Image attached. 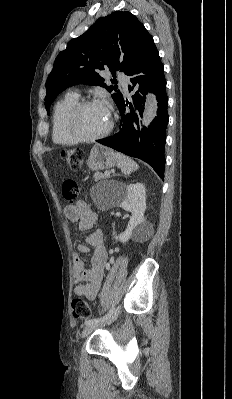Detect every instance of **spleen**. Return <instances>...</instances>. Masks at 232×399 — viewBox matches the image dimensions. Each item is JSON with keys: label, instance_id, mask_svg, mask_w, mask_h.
<instances>
[{"label": "spleen", "instance_id": "1", "mask_svg": "<svg viewBox=\"0 0 232 399\" xmlns=\"http://www.w3.org/2000/svg\"><path fill=\"white\" fill-rule=\"evenodd\" d=\"M116 164L120 170H122L123 174H131V172H136L139 166L131 160V158H127V156H122V154H116Z\"/></svg>", "mask_w": 232, "mask_h": 399}]
</instances>
